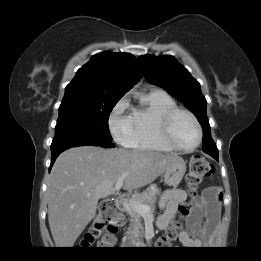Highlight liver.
<instances>
[{"mask_svg":"<svg viewBox=\"0 0 261 261\" xmlns=\"http://www.w3.org/2000/svg\"><path fill=\"white\" fill-rule=\"evenodd\" d=\"M178 156L123 148L80 146L56 159L47 184L48 221L56 247L71 248L117 180L137 190L163 174Z\"/></svg>","mask_w":261,"mask_h":261,"instance_id":"liver-1","label":"liver"}]
</instances>
